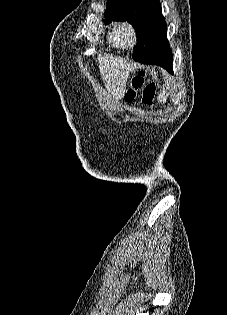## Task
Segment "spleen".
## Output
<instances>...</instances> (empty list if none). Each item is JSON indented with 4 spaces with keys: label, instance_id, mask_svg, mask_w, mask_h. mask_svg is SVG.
Instances as JSON below:
<instances>
[{
    "label": "spleen",
    "instance_id": "obj_1",
    "mask_svg": "<svg viewBox=\"0 0 227 315\" xmlns=\"http://www.w3.org/2000/svg\"><path fill=\"white\" fill-rule=\"evenodd\" d=\"M166 97H167V95H165V91H162V93H160V96H159V99H160V101H166Z\"/></svg>",
    "mask_w": 227,
    "mask_h": 315
}]
</instances>
